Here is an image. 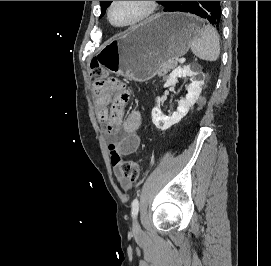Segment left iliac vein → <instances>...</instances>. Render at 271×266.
Returning a JSON list of instances; mask_svg holds the SVG:
<instances>
[{
    "mask_svg": "<svg viewBox=\"0 0 271 266\" xmlns=\"http://www.w3.org/2000/svg\"><path fill=\"white\" fill-rule=\"evenodd\" d=\"M133 230H134L135 232H137V231L140 230L139 223H138V221H137L136 219L133 221Z\"/></svg>",
    "mask_w": 271,
    "mask_h": 266,
    "instance_id": "left-iliac-vein-1",
    "label": "left iliac vein"
}]
</instances>
